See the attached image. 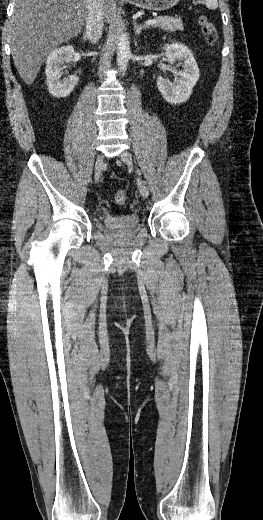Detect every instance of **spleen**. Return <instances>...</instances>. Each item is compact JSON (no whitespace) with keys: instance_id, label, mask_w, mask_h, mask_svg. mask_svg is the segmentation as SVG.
Listing matches in <instances>:
<instances>
[{"instance_id":"obj_1","label":"spleen","mask_w":263,"mask_h":520,"mask_svg":"<svg viewBox=\"0 0 263 520\" xmlns=\"http://www.w3.org/2000/svg\"><path fill=\"white\" fill-rule=\"evenodd\" d=\"M205 2V5L208 9H216L218 7L217 0H203Z\"/></svg>"}]
</instances>
